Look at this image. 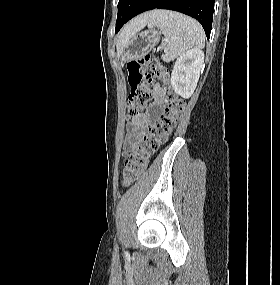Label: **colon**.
Instances as JSON below:
<instances>
[{"label":"colon","instance_id":"1","mask_svg":"<svg viewBox=\"0 0 280 285\" xmlns=\"http://www.w3.org/2000/svg\"><path fill=\"white\" fill-rule=\"evenodd\" d=\"M127 68L130 86L127 102L128 116L136 115L150 102L151 85L154 80L161 81L167 91L165 111L150 131L137 142L125 161L123 182L125 185H130L137 181L144 172L149 156L172 134L181 118L185 103L171 90L168 72L156 59L150 56L135 59L128 63Z\"/></svg>","mask_w":280,"mask_h":285}]
</instances>
